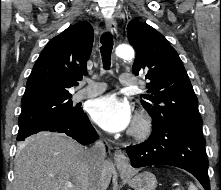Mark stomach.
<instances>
[{"label":"stomach","mask_w":221,"mask_h":190,"mask_svg":"<svg viewBox=\"0 0 221 190\" xmlns=\"http://www.w3.org/2000/svg\"><path fill=\"white\" fill-rule=\"evenodd\" d=\"M122 178L134 190H155L157 187V179L151 172L145 171L139 174H129L124 170H120Z\"/></svg>","instance_id":"0dacf381"}]
</instances>
